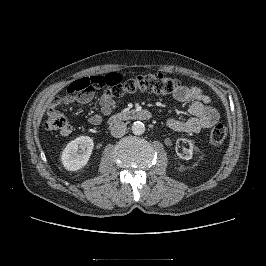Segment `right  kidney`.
<instances>
[{
  "label": "right kidney",
  "mask_w": 266,
  "mask_h": 266,
  "mask_svg": "<svg viewBox=\"0 0 266 266\" xmlns=\"http://www.w3.org/2000/svg\"><path fill=\"white\" fill-rule=\"evenodd\" d=\"M93 147V139L89 136H79L68 143L61 154L65 169L77 171L84 167L92 154Z\"/></svg>",
  "instance_id": "1"
}]
</instances>
